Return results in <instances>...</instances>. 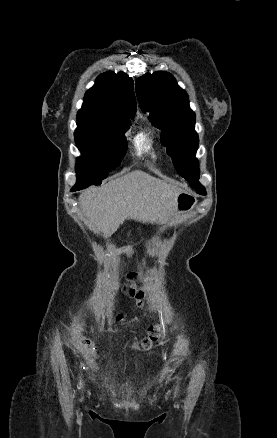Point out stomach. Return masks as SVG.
Returning <instances> with one entry per match:
<instances>
[{
	"label": "stomach",
	"mask_w": 277,
	"mask_h": 438,
	"mask_svg": "<svg viewBox=\"0 0 277 438\" xmlns=\"http://www.w3.org/2000/svg\"><path fill=\"white\" fill-rule=\"evenodd\" d=\"M197 206V200L192 195L187 192H182L176 197V209H175V217H180L190 211H193ZM171 221L166 222L163 226V230H165Z\"/></svg>",
	"instance_id": "0dacf381"
}]
</instances>
